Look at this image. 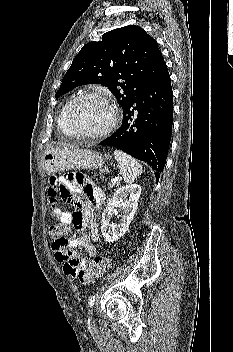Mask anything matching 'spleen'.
Listing matches in <instances>:
<instances>
[{
  "instance_id": "3e777b00",
  "label": "spleen",
  "mask_w": 233,
  "mask_h": 352,
  "mask_svg": "<svg viewBox=\"0 0 233 352\" xmlns=\"http://www.w3.org/2000/svg\"><path fill=\"white\" fill-rule=\"evenodd\" d=\"M114 158L126 183H132L143 171L136 159L120 150L114 151Z\"/></svg>"
}]
</instances>
